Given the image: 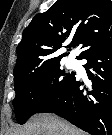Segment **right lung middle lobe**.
I'll list each match as a JSON object with an SVG mask.
<instances>
[{"label": "right lung middle lobe", "instance_id": "right-lung-middle-lobe-1", "mask_svg": "<svg viewBox=\"0 0 112 135\" xmlns=\"http://www.w3.org/2000/svg\"><path fill=\"white\" fill-rule=\"evenodd\" d=\"M60 61L47 64L37 72L15 77L13 100L16 120L24 124L33 114L57 97L75 76L59 68Z\"/></svg>", "mask_w": 112, "mask_h": 135}]
</instances>
